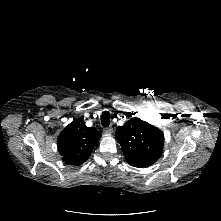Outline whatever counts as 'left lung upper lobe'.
Returning <instances> with one entry per match:
<instances>
[{
    "label": "left lung upper lobe",
    "instance_id": "left-lung-upper-lobe-1",
    "mask_svg": "<svg viewBox=\"0 0 221 221\" xmlns=\"http://www.w3.org/2000/svg\"><path fill=\"white\" fill-rule=\"evenodd\" d=\"M115 138L121 145L126 161L134 167L152 165L163 151L162 131L136 117L118 127Z\"/></svg>",
    "mask_w": 221,
    "mask_h": 221
}]
</instances>
